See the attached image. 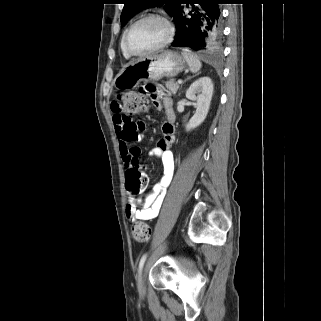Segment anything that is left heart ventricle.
<instances>
[{"instance_id":"obj_1","label":"left heart ventricle","mask_w":321,"mask_h":321,"mask_svg":"<svg viewBox=\"0 0 321 321\" xmlns=\"http://www.w3.org/2000/svg\"><path fill=\"white\" fill-rule=\"evenodd\" d=\"M165 35L162 22L155 19L144 20L130 31L127 45L132 52H143L159 44Z\"/></svg>"}]
</instances>
